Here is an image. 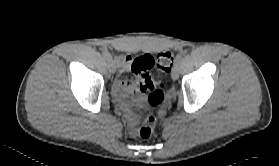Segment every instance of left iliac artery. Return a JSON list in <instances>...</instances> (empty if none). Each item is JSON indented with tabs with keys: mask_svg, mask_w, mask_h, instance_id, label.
Masks as SVG:
<instances>
[{
	"mask_svg": "<svg viewBox=\"0 0 279 166\" xmlns=\"http://www.w3.org/2000/svg\"><path fill=\"white\" fill-rule=\"evenodd\" d=\"M181 60H182V55H178V57L175 61V65L179 64Z\"/></svg>",
	"mask_w": 279,
	"mask_h": 166,
	"instance_id": "1",
	"label": "left iliac artery"
}]
</instances>
